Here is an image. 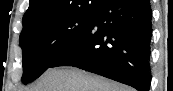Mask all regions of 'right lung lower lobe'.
<instances>
[{
  "label": "right lung lower lobe",
  "mask_w": 173,
  "mask_h": 91,
  "mask_svg": "<svg viewBox=\"0 0 173 91\" xmlns=\"http://www.w3.org/2000/svg\"><path fill=\"white\" fill-rule=\"evenodd\" d=\"M151 19L149 0H100L85 33L50 68L74 66L148 91Z\"/></svg>",
  "instance_id": "1"
}]
</instances>
